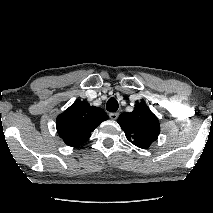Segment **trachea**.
<instances>
[{
  "label": "trachea",
  "mask_w": 213,
  "mask_h": 213,
  "mask_svg": "<svg viewBox=\"0 0 213 213\" xmlns=\"http://www.w3.org/2000/svg\"><path fill=\"white\" fill-rule=\"evenodd\" d=\"M118 102L115 98H110L108 101H107V104H106V109L109 111V112H116L118 110Z\"/></svg>",
  "instance_id": "1"
}]
</instances>
